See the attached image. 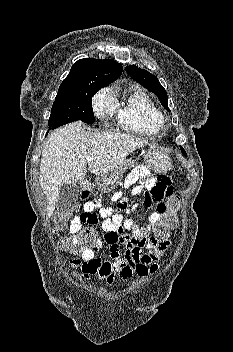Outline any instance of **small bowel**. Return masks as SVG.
Masks as SVG:
<instances>
[{
	"instance_id": "c3829d8e",
	"label": "small bowel",
	"mask_w": 233,
	"mask_h": 352,
	"mask_svg": "<svg viewBox=\"0 0 233 352\" xmlns=\"http://www.w3.org/2000/svg\"><path fill=\"white\" fill-rule=\"evenodd\" d=\"M131 186H134L131 190L132 195L145 194L146 207L149 208L152 203H157V209L148 214L144 227H139L132 219L124 216V212L130 213L134 207L129 206L127 198L121 197V192L113 195L117 208L86 201L83 205V213L72 219L69 230L75 235L83 224H97L98 218L95 211L98 210L102 218L101 228L106 232L104 242L109 246L111 253V261H102L95 256L97 247L84 250L81 260L76 259L72 262L73 266L81 265V279L89 280L92 275H97L111 286L117 278L127 280L134 276L145 277L157 270L158 261L166 255L169 242L157 247L148 246L149 250L143 252L141 248L145 245L134 242L132 237L137 238L150 233L160 221L161 213L158 207L164 204V199L170 197L173 192L169 177L153 175L145 166H138L124 182L125 188ZM125 230H130L132 237L126 238L123 235ZM123 245L126 246V251L124 257H121L120 248Z\"/></svg>"
}]
</instances>
